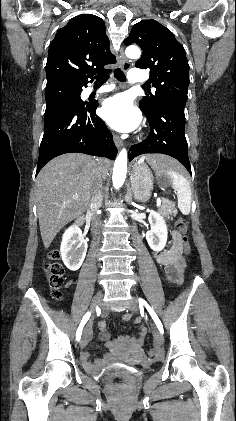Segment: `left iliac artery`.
I'll return each instance as SVG.
<instances>
[{
    "label": "left iliac artery",
    "mask_w": 236,
    "mask_h": 421,
    "mask_svg": "<svg viewBox=\"0 0 236 421\" xmlns=\"http://www.w3.org/2000/svg\"><path fill=\"white\" fill-rule=\"evenodd\" d=\"M139 300V306H145L146 307V309L148 310V312L150 313V315H151V317H152V319L154 320V322H155V324L157 325V327H158V329H159V331L163 334V326H162V323H161V321L159 320V318H158V316H157V314L155 313V311L153 310V308H151L148 304H147V302L145 301V300H143L142 298H139L138 299Z\"/></svg>",
    "instance_id": "obj_1"
}]
</instances>
